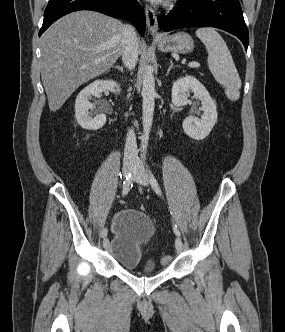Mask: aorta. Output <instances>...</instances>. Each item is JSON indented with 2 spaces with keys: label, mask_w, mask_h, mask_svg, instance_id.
Listing matches in <instances>:
<instances>
[{
  "label": "aorta",
  "mask_w": 285,
  "mask_h": 332,
  "mask_svg": "<svg viewBox=\"0 0 285 332\" xmlns=\"http://www.w3.org/2000/svg\"><path fill=\"white\" fill-rule=\"evenodd\" d=\"M142 97H143V135H142V153L146 152L149 133L152 126L154 107H155V79L153 75V69L151 66H147L143 75L142 83Z\"/></svg>",
  "instance_id": "obj_1"
}]
</instances>
